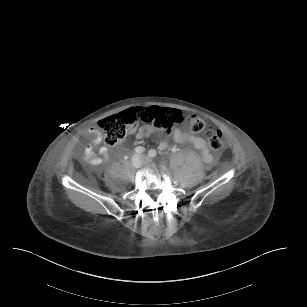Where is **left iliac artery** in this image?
<instances>
[{
	"mask_svg": "<svg viewBox=\"0 0 307 307\" xmlns=\"http://www.w3.org/2000/svg\"><path fill=\"white\" fill-rule=\"evenodd\" d=\"M148 155H149L151 158H154V157H156L157 152H156L154 149H151V150L148 152Z\"/></svg>",
	"mask_w": 307,
	"mask_h": 307,
	"instance_id": "44dca946",
	"label": "left iliac artery"
}]
</instances>
